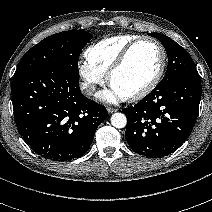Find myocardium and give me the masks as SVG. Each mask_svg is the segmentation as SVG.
I'll list each match as a JSON object with an SVG mask.
<instances>
[{
    "instance_id": "f54148a6",
    "label": "myocardium",
    "mask_w": 212,
    "mask_h": 212,
    "mask_svg": "<svg viewBox=\"0 0 212 212\" xmlns=\"http://www.w3.org/2000/svg\"><path fill=\"white\" fill-rule=\"evenodd\" d=\"M141 43H151L154 46H156L160 52L161 61H160L159 69H158L157 73L155 74V76L153 77V79L141 90H139L138 92L134 93L133 95L127 97V99L130 101L140 100V99L144 98L145 96H147L148 94H150L160 83V81L164 75L166 65H167V53H166L164 46L156 39H153L150 37H139L126 46V48L122 51L120 56L117 58V60L114 62V64L109 69V71L107 73V80L110 85L112 83V79H113L114 75L124 67V65L126 64L128 58H129L130 54L132 53V51L134 50V48Z\"/></svg>"
}]
</instances>
